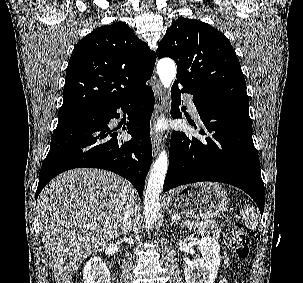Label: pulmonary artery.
I'll return each mask as SVG.
<instances>
[{
  "label": "pulmonary artery",
  "mask_w": 303,
  "mask_h": 283,
  "mask_svg": "<svg viewBox=\"0 0 303 283\" xmlns=\"http://www.w3.org/2000/svg\"><path fill=\"white\" fill-rule=\"evenodd\" d=\"M182 97H183L184 101L186 102L187 107H188L189 111L191 112V114L195 118L198 119L199 118V114H198L197 108L195 106L193 97L191 95L186 94V93H183Z\"/></svg>",
  "instance_id": "e3ab8cb5"
}]
</instances>
